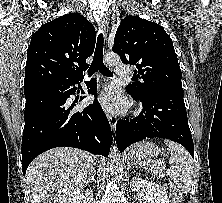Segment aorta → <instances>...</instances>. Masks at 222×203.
I'll use <instances>...</instances> for the list:
<instances>
[{"label": "aorta", "mask_w": 222, "mask_h": 203, "mask_svg": "<svg viewBox=\"0 0 222 203\" xmlns=\"http://www.w3.org/2000/svg\"><path fill=\"white\" fill-rule=\"evenodd\" d=\"M120 58L115 53H107L105 62L108 66H115L119 63ZM110 171L115 180H119L123 174V166L120 159V154L116 146H113L109 153Z\"/></svg>", "instance_id": "1"}]
</instances>
